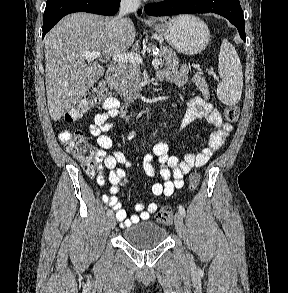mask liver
<instances>
[{
  "mask_svg": "<svg viewBox=\"0 0 288 293\" xmlns=\"http://www.w3.org/2000/svg\"><path fill=\"white\" fill-rule=\"evenodd\" d=\"M159 21L166 17L157 18ZM135 39L133 22L85 12L64 17L45 37L46 93L50 117L58 121L104 75L98 61L82 54L97 51L105 59L125 53Z\"/></svg>",
  "mask_w": 288,
  "mask_h": 293,
  "instance_id": "6515ba94",
  "label": "liver"
}]
</instances>
